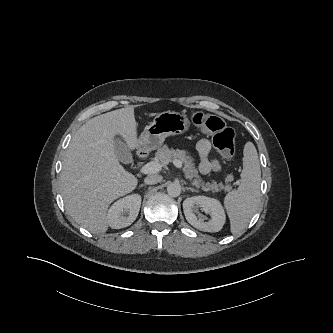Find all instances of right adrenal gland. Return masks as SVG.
Listing matches in <instances>:
<instances>
[{"instance_id":"1","label":"right adrenal gland","mask_w":333,"mask_h":333,"mask_svg":"<svg viewBox=\"0 0 333 333\" xmlns=\"http://www.w3.org/2000/svg\"><path fill=\"white\" fill-rule=\"evenodd\" d=\"M139 187H146V184H141Z\"/></svg>"}]
</instances>
